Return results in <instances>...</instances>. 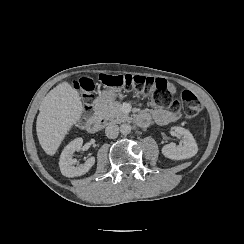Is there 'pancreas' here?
<instances>
[{"label":"pancreas","mask_w":244,"mask_h":244,"mask_svg":"<svg viewBox=\"0 0 244 244\" xmlns=\"http://www.w3.org/2000/svg\"><path fill=\"white\" fill-rule=\"evenodd\" d=\"M95 116L99 120H109L111 123L120 124L129 121V115L122 111V104L117 101H109L108 104L100 105Z\"/></svg>","instance_id":"pancreas-1"}]
</instances>
